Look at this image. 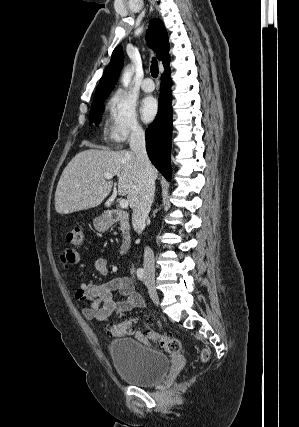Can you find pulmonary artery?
Returning a JSON list of instances; mask_svg holds the SVG:
<instances>
[{
  "label": "pulmonary artery",
  "mask_w": 299,
  "mask_h": 427,
  "mask_svg": "<svg viewBox=\"0 0 299 427\" xmlns=\"http://www.w3.org/2000/svg\"><path fill=\"white\" fill-rule=\"evenodd\" d=\"M141 88L145 92H152L154 90V84L151 78L146 77L141 84Z\"/></svg>",
  "instance_id": "1"
}]
</instances>
